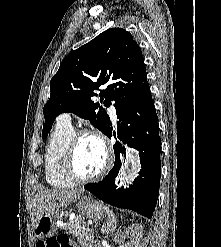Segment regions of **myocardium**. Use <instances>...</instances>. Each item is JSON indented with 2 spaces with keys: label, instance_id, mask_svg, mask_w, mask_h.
I'll return each mask as SVG.
<instances>
[{
  "label": "myocardium",
  "instance_id": "obj_1",
  "mask_svg": "<svg viewBox=\"0 0 221 247\" xmlns=\"http://www.w3.org/2000/svg\"><path fill=\"white\" fill-rule=\"evenodd\" d=\"M84 136H92L96 138L102 145L105 153V163L102 169L95 175L89 177L81 176L75 167V155L81 138ZM114 161V153L111 144L106 136L97 129H79L74 131L70 140L65 156V171L68 177L77 183H90L102 179L111 169Z\"/></svg>",
  "mask_w": 221,
  "mask_h": 247
}]
</instances>
